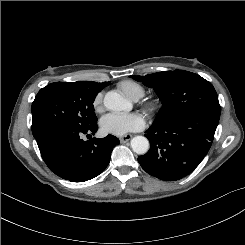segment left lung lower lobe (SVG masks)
I'll return each mask as SVG.
<instances>
[{"instance_id": "left-lung-lower-lobe-1", "label": "left lung lower lobe", "mask_w": 245, "mask_h": 245, "mask_svg": "<svg viewBox=\"0 0 245 245\" xmlns=\"http://www.w3.org/2000/svg\"><path fill=\"white\" fill-rule=\"evenodd\" d=\"M219 117L194 114L163 126H151L145 136L151 148L138 157L142 168L161 180L189 175L203 160L214 138Z\"/></svg>"}]
</instances>
